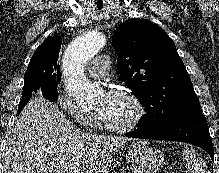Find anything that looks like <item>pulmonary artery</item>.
<instances>
[{
    "mask_svg": "<svg viewBox=\"0 0 219 173\" xmlns=\"http://www.w3.org/2000/svg\"><path fill=\"white\" fill-rule=\"evenodd\" d=\"M110 64L111 61L108 56L100 55L95 57L88 67L89 76L94 79L105 77L110 69Z\"/></svg>",
    "mask_w": 219,
    "mask_h": 173,
    "instance_id": "obj_1",
    "label": "pulmonary artery"
}]
</instances>
